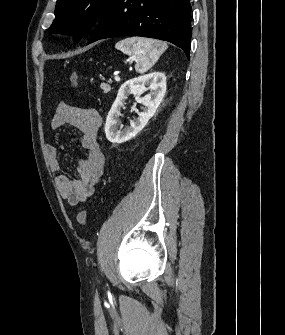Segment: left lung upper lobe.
<instances>
[{
	"label": "left lung upper lobe",
	"mask_w": 285,
	"mask_h": 335,
	"mask_svg": "<svg viewBox=\"0 0 285 335\" xmlns=\"http://www.w3.org/2000/svg\"><path fill=\"white\" fill-rule=\"evenodd\" d=\"M113 0H57L54 33L74 34L78 42L97 22Z\"/></svg>",
	"instance_id": "left-lung-upper-lobe-1"
}]
</instances>
